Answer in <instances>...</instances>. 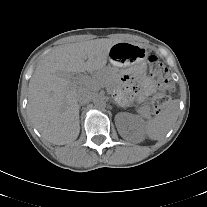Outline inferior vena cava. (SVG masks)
Segmentation results:
<instances>
[{"instance_id":"obj_1","label":"inferior vena cava","mask_w":207,"mask_h":207,"mask_svg":"<svg viewBox=\"0 0 207 207\" xmlns=\"http://www.w3.org/2000/svg\"><path fill=\"white\" fill-rule=\"evenodd\" d=\"M95 94L89 88H80L77 91V100L80 104H87L94 100Z\"/></svg>"}]
</instances>
